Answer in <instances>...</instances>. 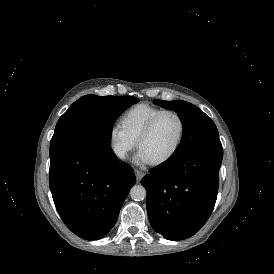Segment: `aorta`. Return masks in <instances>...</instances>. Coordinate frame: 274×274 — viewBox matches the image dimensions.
I'll use <instances>...</instances> for the list:
<instances>
[{
    "instance_id": "762f6f07",
    "label": "aorta",
    "mask_w": 274,
    "mask_h": 274,
    "mask_svg": "<svg viewBox=\"0 0 274 274\" xmlns=\"http://www.w3.org/2000/svg\"><path fill=\"white\" fill-rule=\"evenodd\" d=\"M146 194V189L142 185H134L130 190V197L135 201L144 200Z\"/></svg>"
}]
</instances>
